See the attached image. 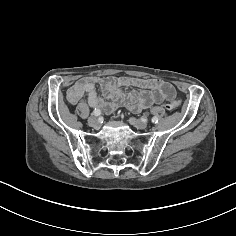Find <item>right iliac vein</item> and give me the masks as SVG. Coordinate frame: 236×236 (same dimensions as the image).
<instances>
[{"instance_id": "right-iliac-vein-1", "label": "right iliac vein", "mask_w": 236, "mask_h": 236, "mask_svg": "<svg viewBox=\"0 0 236 236\" xmlns=\"http://www.w3.org/2000/svg\"><path fill=\"white\" fill-rule=\"evenodd\" d=\"M88 124L90 126H96L98 124L97 119L94 116L89 117Z\"/></svg>"}]
</instances>
